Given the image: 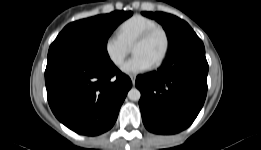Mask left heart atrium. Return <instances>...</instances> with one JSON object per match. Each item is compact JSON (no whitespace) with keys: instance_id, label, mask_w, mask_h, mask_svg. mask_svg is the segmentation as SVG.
I'll use <instances>...</instances> for the list:
<instances>
[{"instance_id":"left-heart-atrium-1","label":"left heart atrium","mask_w":261,"mask_h":150,"mask_svg":"<svg viewBox=\"0 0 261 150\" xmlns=\"http://www.w3.org/2000/svg\"><path fill=\"white\" fill-rule=\"evenodd\" d=\"M151 66V63L143 56L134 54L121 69L124 73L135 75L147 71Z\"/></svg>"}]
</instances>
